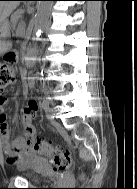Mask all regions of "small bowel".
<instances>
[{
	"instance_id": "1",
	"label": "small bowel",
	"mask_w": 137,
	"mask_h": 189,
	"mask_svg": "<svg viewBox=\"0 0 137 189\" xmlns=\"http://www.w3.org/2000/svg\"><path fill=\"white\" fill-rule=\"evenodd\" d=\"M34 77L28 78V86H34ZM6 97L4 93L0 94V142L2 144L7 162L19 168H25L30 163L37 160V157L30 150V144L35 136L36 129L33 124L34 113L27 111V106L23 110L24 134L12 140L11 131L7 122V116L4 111ZM29 103V102H28ZM38 161V160H37ZM36 162V161H35Z\"/></svg>"
}]
</instances>
